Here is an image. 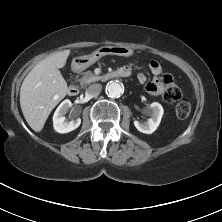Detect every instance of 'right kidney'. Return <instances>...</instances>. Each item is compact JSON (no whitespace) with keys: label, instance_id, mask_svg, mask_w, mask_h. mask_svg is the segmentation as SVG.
<instances>
[{"label":"right kidney","instance_id":"obj_1","mask_svg":"<svg viewBox=\"0 0 222 222\" xmlns=\"http://www.w3.org/2000/svg\"><path fill=\"white\" fill-rule=\"evenodd\" d=\"M72 106L70 100H64L56 109L53 115V126L56 132L58 133H68L76 128H78L81 124V119H72L71 121H65L64 115L67 113L68 109Z\"/></svg>","mask_w":222,"mask_h":222}]
</instances>
